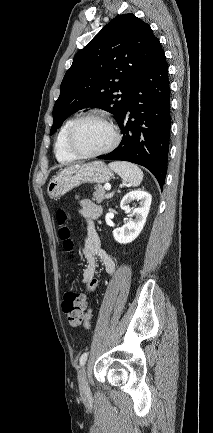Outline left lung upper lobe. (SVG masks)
I'll return each mask as SVG.
<instances>
[{"label": "left lung upper lobe", "instance_id": "1", "mask_svg": "<svg viewBox=\"0 0 213 433\" xmlns=\"http://www.w3.org/2000/svg\"><path fill=\"white\" fill-rule=\"evenodd\" d=\"M160 47L140 18L131 13L115 17L73 58L53 108L51 134L87 106L112 113L119 123L133 87Z\"/></svg>", "mask_w": 213, "mask_h": 433}]
</instances>
